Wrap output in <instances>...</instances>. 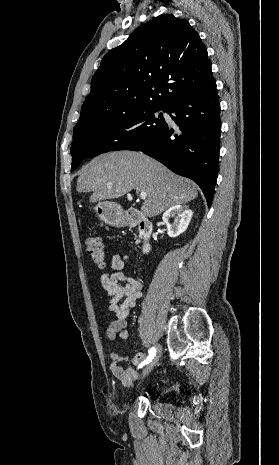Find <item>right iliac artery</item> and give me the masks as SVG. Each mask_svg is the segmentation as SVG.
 <instances>
[{"label": "right iliac artery", "instance_id": "1", "mask_svg": "<svg viewBox=\"0 0 279 465\" xmlns=\"http://www.w3.org/2000/svg\"><path fill=\"white\" fill-rule=\"evenodd\" d=\"M155 353H156V349L154 347H152L150 350H149V354H148V357L146 358V360H144L140 365H139V368L143 367L144 365L148 364L149 362H151V360L154 358L155 356Z\"/></svg>", "mask_w": 279, "mask_h": 465}]
</instances>
